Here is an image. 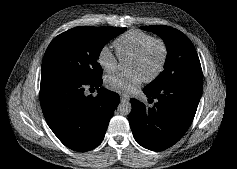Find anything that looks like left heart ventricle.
Instances as JSON below:
<instances>
[{
  "label": "left heart ventricle",
  "mask_w": 237,
  "mask_h": 169,
  "mask_svg": "<svg viewBox=\"0 0 237 169\" xmlns=\"http://www.w3.org/2000/svg\"><path fill=\"white\" fill-rule=\"evenodd\" d=\"M162 56L159 45L149 48L143 58L138 60L129 59L127 62L128 71H136L143 79L150 76L158 67Z\"/></svg>",
  "instance_id": "obj_1"
}]
</instances>
